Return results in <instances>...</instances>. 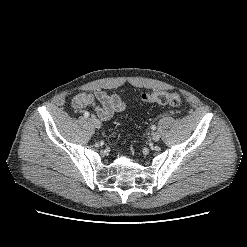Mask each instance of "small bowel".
<instances>
[{"label": "small bowel", "mask_w": 247, "mask_h": 247, "mask_svg": "<svg viewBox=\"0 0 247 247\" xmlns=\"http://www.w3.org/2000/svg\"><path fill=\"white\" fill-rule=\"evenodd\" d=\"M72 106L77 110L91 106L101 120L109 121L115 113L124 110L125 103L116 94H108L103 90H98L94 93L82 92L77 94L72 100Z\"/></svg>", "instance_id": "small-bowel-1"}]
</instances>
